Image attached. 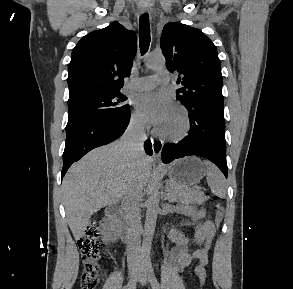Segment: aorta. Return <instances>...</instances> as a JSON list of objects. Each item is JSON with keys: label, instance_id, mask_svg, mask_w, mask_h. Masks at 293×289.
<instances>
[{"label": "aorta", "instance_id": "1", "mask_svg": "<svg viewBox=\"0 0 293 289\" xmlns=\"http://www.w3.org/2000/svg\"><path fill=\"white\" fill-rule=\"evenodd\" d=\"M145 65L149 69H160L165 66V60L162 56H148ZM159 182H156L150 190L148 200L146 202V219L144 225V235L142 242V255L148 257L151 251V244L156 227L157 213L159 210L160 192Z\"/></svg>", "mask_w": 293, "mask_h": 289}]
</instances>
